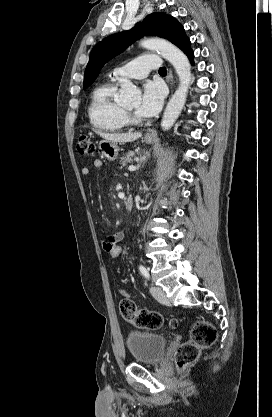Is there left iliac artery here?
I'll list each match as a JSON object with an SVG mask.
<instances>
[{
    "mask_svg": "<svg viewBox=\"0 0 272 417\" xmlns=\"http://www.w3.org/2000/svg\"><path fill=\"white\" fill-rule=\"evenodd\" d=\"M139 270L145 278L149 279V272L143 265H139Z\"/></svg>",
    "mask_w": 272,
    "mask_h": 417,
    "instance_id": "obj_1",
    "label": "left iliac artery"
}]
</instances>
